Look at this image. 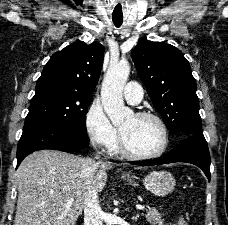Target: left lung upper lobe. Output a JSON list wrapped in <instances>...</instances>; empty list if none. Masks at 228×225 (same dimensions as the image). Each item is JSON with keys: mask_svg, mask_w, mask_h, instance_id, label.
I'll list each match as a JSON object with an SVG mask.
<instances>
[{"mask_svg": "<svg viewBox=\"0 0 228 225\" xmlns=\"http://www.w3.org/2000/svg\"><path fill=\"white\" fill-rule=\"evenodd\" d=\"M131 56L170 133L183 137L204 136L196 81L182 52L170 44L143 39Z\"/></svg>", "mask_w": 228, "mask_h": 225, "instance_id": "left-lung-upper-lobe-1", "label": "left lung upper lobe"}]
</instances>
